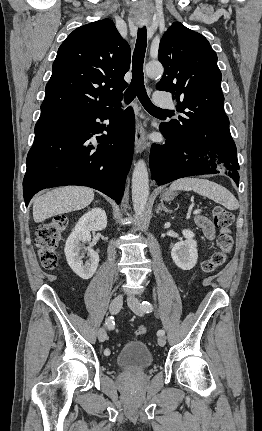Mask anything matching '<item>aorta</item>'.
<instances>
[{"label": "aorta", "instance_id": "762f6f07", "mask_svg": "<svg viewBox=\"0 0 262 431\" xmlns=\"http://www.w3.org/2000/svg\"><path fill=\"white\" fill-rule=\"evenodd\" d=\"M149 77L161 76L164 72L159 62H150L145 67ZM149 196V176L144 160H139L132 174V202L136 216L143 217Z\"/></svg>", "mask_w": 262, "mask_h": 431}]
</instances>
